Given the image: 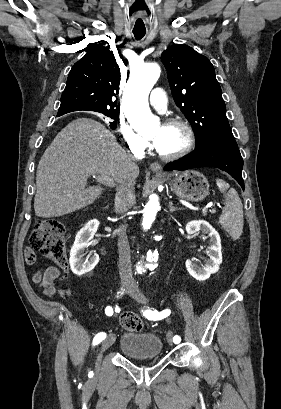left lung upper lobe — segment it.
Here are the masks:
<instances>
[{"instance_id": "5c2ea615", "label": "left lung upper lobe", "mask_w": 281, "mask_h": 409, "mask_svg": "<svg viewBox=\"0 0 281 409\" xmlns=\"http://www.w3.org/2000/svg\"><path fill=\"white\" fill-rule=\"evenodd\" d=\"M174 101L192 125L196 147H238L226 117L215 70L207 57L187 45H174L161 55Z\"/></svg>"}]
</instances>
